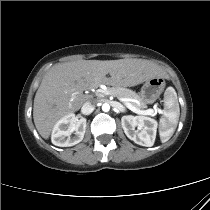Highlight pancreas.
<instances>
[{
  "instance_id": "cf45deb5",
  "label": "pancreas",
  "mask_w": 210,
  "mask_h": 210,
  "mask_svg": "<svg viewBox=\"0 0 210 210\" xmlns=\"http://www.w3.org/2000/svg\"><path fill=\"white\" fill-rule=\"evenodd\" d=\"M107 91H109L110 95H113L119 98L138 100L140 102L139 104L136 102H130L133 106H135L138 109H142L146 107V104H144L141 101L140 96L136 92L130 89L123 88L120 86H114V87L108 88Z\"/></svg>"
}]
</instances>
